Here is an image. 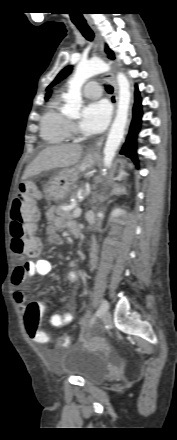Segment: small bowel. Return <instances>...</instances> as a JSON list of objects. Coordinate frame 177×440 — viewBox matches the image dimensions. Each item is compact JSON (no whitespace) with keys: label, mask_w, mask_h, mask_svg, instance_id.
<instances>
[{"label":"small bowel","mask_w":177,"mask_h":440,"mask_svg":"<svg viewBox=\"0 0 177 440\" xmlns=\"http://www.w3.org/2000/svg\"><path fill=\"white\" fill-rule=\"evenodd\" d=\"M45 218L48 222L45 228V234L47 241L50 245L58 246L63 243V238L59 234V231L62 229H72L76 225V223L72 221H68L63 217L56 215V209L54 206L49 207L45 211ZM39 244L40 250V242L37 240ZM77 263L76 261L69 262V272L67 275L68 281L72 284L77 283L78 281V273L76 271ZM52 265L50 261L46 259H36L33 261H26L22 264L18 265L12 273L11 284L14 287V300L19 305L20 310L22 312L25 311L26 305V295L21 290V286L24 284L25 280L30 277H34L37 275H46L51 272ZM44 307V306H43ZM51 324L55 327H61L69 324L73 320V314L70 311L64 312L62 314H54L51 316ZM48 343V342H46Z\"/></svg>","instance_id":"small-bowel-1"}]
</instances>
